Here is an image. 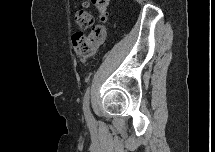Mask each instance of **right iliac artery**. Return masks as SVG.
Returning a JSON list of instances; mask_svg holds the SVG:
<instances>
[{
    "label": "right iliac artery",
    "mask_w": 215,
    "mask_h": 152,
    "mask_svg": "<svg viewBox=\"0 0 215 152\" xmlns=\"http://www.w3.org/2000/svg\"><path fill=\"white\" fill-rule=\"evenodd\" d=\"M89 93H90V88L87 89L83 100V110L87 120L91 119V113L89 110Z\"/></svg>",
    "instance_id": "82829eb1"
}]
</instances>
